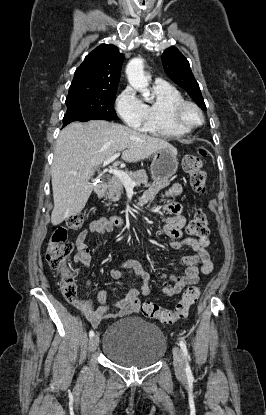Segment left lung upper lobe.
<instances>
[{
	"label": "left lung upper lobe",
	"mask_w": 266,
	"mask_h": 415,
	"mask_svg": "<svg viewBox=\"0 0 266 415\" xmlns=\"http://www.w3.org/2000/svg\"><path fill=\"white\" fill-rule=\"evenodd\" d=\"M162 62L168 77L187 91L200 108L206 110L199 84L193 76L188 60L182 53L176 47H170L162 54Z\"/></svg>",
	"instance_id": "5c2ea615"
}]
</instances>
